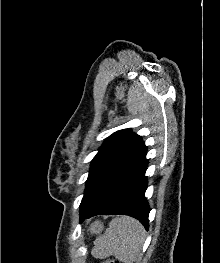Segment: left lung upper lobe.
<instances>
[{
    "label": "left lung upper lobe",
    "mask_w": 220,
    "mask_h": 263,
    "mask_svg": "<svg viewBox=\"0 0 220 263\" xmlns=\"http://www.w3.org/2000/svg\"><path fill=\"white\" fill-rule=\"evenodd\" d=\"M147 152L141 136L123 129L109 136L92 160L80 211L92 207Z\"/></svg>",
    "instance_id": "left-lung-upper-lobe-1"
}]
</instances>
